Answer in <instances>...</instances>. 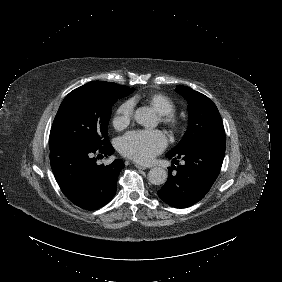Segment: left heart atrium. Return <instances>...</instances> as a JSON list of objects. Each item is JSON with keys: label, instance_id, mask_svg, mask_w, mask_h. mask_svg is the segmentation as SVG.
<instances>
[{"label": "left heart atrium", "instance_id": "39dd6f15", "mask_svg": "<svg viewBox=\"0 0 282 282\" xmlns=\"http://www.w3.org/2000/svg\"><path fill=\"white\" fill-rule=\"evenodd\" d=\"M165 145L166 140L159 131H134L119 141L120 151L139 163L150 162Z\"/></svg>", "mask_w": 282, "mask_h": 282}]
</instances>
